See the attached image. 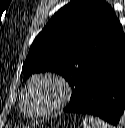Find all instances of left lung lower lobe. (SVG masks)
Segmentation results:
<instances>
[{
  "mask_svg": "<svg viewBox=\"0 0 125 128\" xmlns=\"http://www.w3.org/2000/svg\"><path fill=\"white\" fill-rule=\"evenodd\" d=\"M125 108V34L88 73L79 96L64 111L91 114L119 125Z\"/></svg>",
  "mask_w": 125,
  "mask_h": 128,
  "instance_id": "0a47b994",
  "label": "left lung lower lobe"
}]
</instances>
